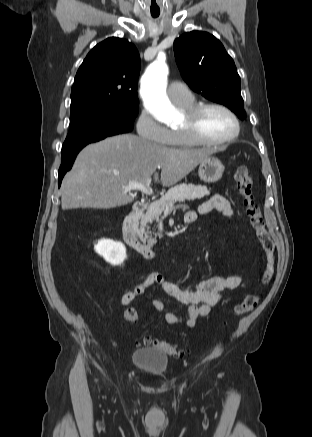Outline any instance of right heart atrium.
Returning a JSON list of instances; mask_svg holds the SVG:
<instances>
[{"label": "right heart atrium", "instance_id": "obj_1", "mask_svg": "<svg viewBox=\"0 0 312 437\" xmlns=\"http://www.w3.org/2000/svg\"><path fill=\"white\" fill-rule=\"evenodd\" d=\"M137 133L143 139L156 143L167 144L170 130L163 126L149 111L143 109L136 122Z\"/></svg>", "mask_w": 312, "mask_h": 437}]
</instances>
